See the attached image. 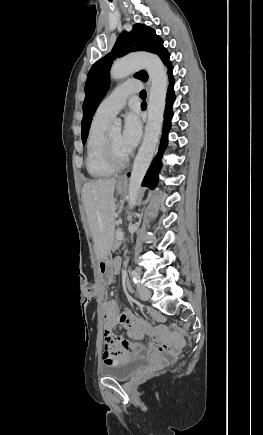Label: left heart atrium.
Listing matches in <instances>:
<instances>
[{"label": "left heart atrium", "instance_id": "left-heart-atrium-1", "mask_svg": "<svg viewBox=\"0 0 263 435\" xmlns=\"http://www.w3.org/2000/svg\"><path fill=\"white\" fill-rule=\"evenodd\" d=\"M142 134L141 121L135 112L127 114L121 135L122 147L129 154L139 143Z\"/></svg>", "mask_w": 263, "mask_h": 435}]
</instances>
